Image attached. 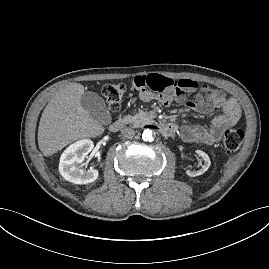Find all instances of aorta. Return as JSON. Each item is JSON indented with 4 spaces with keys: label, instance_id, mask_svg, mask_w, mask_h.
I'll return each instance as SVG.
<instances>
[{
    "label": "aorta",
    "instance_id": "obj_1",
    "mask_svg": "<svg viewBox=\"0 0 269 269\" xmlns=\"http://www.w3.org/2000/svg\"><path fill=\"white\" fill-rule=\"evenodd\" d=\"M142 139L144 141H153L154 140V136H153V131L151 129H145L143 134H142Z\"/></svg>",
    "mask_w": 269,
    "mask_h": 269
}]
</instances>
